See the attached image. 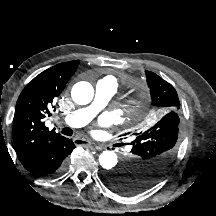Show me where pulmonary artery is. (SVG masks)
I'll list each match as a JSON object with an SVG mask.
<instances>
[{"mask_svg": "<svg viewBox=\"0 0 216 216\" xmlns=\"http://www.w3.org/2000/svg\"><path fill=\"white\" fill-rule=\"evenodd\" d=\"M117 90L116 80L112 76L100 79L95 86V96L90 105L75 110L63 119L70 127H83L88 124L109 102Z\"/></svg>", "mask_w": 216, "mask_h": 216, "instance_id": "e3ab8cb5", "label": "pulmonary artery"}]
</instances>
